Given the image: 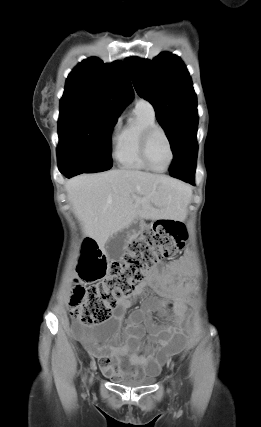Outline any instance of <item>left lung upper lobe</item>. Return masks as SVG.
I'll list each match as a JSON object with an SVG mask.
<instances>
[{
	"label": "left lung upper lobe",
	"mask_w": 261,
	"mask_h": 427,
	"mask_svg": "<svg viewBox=\"0 0 261 427\" xmlns=\"http://www.w3.org/2000/svg\"><path fill=\"white\" fill-rule=\"evenodd\" d=\"M137 93L154 107L175 155L189 135L197 132V97L181 59L162 52L153 60L125 59Z\"/></svg>",
	"instance_id": "1"
}]
</instances>
